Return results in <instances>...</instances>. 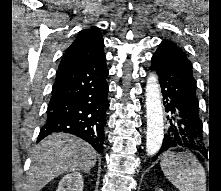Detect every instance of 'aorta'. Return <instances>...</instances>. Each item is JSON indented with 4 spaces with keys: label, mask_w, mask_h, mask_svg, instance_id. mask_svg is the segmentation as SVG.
<instances>
[{
    "label": "aorta",
    "mask_w": 221,
    "mask_h": 191,
    "mask_svg": "<svg viewBox=\"0 0 221 191\" xmlns=\"http://www.w3.org/2000/svg\"><path fill=\"white\" fill-rule=\"evenodd\" d=\"M147 113L146 152L156 154L163 142L164 120L161 101V90L155 72L149 74L145 89Z\"/></svg>",
    "instance_id": "aorta-1"
}]
</instances>
